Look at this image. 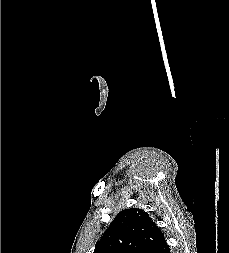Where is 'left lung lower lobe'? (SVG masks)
<instances>
[{
    "label": "left lung lower lobe",
    "instance_id": "1",
    "mask_svg": "<svg viewBox=\"0 0 229 253\" xmlns=\"http://www.w3.org/2000/svg\"><path fill=\"white\" fill-rule=\"evenodd\" d=\"M155 253H170V248L165 239L160 243Z\"/></svg>",
    "mask_w": 229,
    "mask_h": 253
}]
</instances>
